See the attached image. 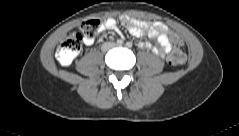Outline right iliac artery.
<instances>
[{
	"label": "right iliac artery",
	"instance_id": "1",
	"mask_svg": "<svg viewBox=\"0 0 239 136\" xmlns=\"http://www.w3.org/2000/svg\"><path fill=\"white\" fill-rule=\"evenodd\" d=\"M117 44L118 45H122L123 44V40H121V39L117 40Z\"/></svg>",
	"mask_w": 239,
	"mask_h": 136
}]
</instances>
